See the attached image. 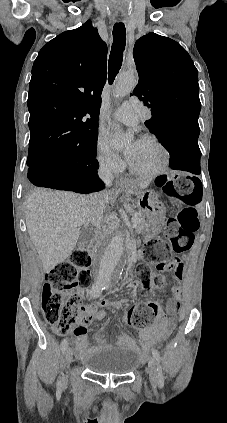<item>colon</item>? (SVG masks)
<instances>
[{"instance_id": "obj_1", "label": "colon", "mask_w": 227, "mask_h": 423, "mask_svg": "<svg viewBox=\"0 0 227 423\" xmlns=\"http://www.w3.org/2000/svg\"><path fill=\"white\" fill-rule=\"evenodd\" d=\"M157 186L164 192L171 204L179 208L176 217L167 223V235L177 254L189 250L194 234L199 228L196 206L201 199L199 182L191 177H163L157 180ZM143 258L149 265L137 268L140 283L151 288L163 285L166 274L170 273L175 281L183 276V263L177 257H170L163 241H148L144 245ZM90 257L83 249L75 250L69 259L56 265L46 275L42 289L41 307L45 321L59 334L75 331L83 319L85 307L80 289L90 282ZM160 311L156 301L140 302L126 314V322L133 327L149 326Z\"/></svg>"}]
</instances>
